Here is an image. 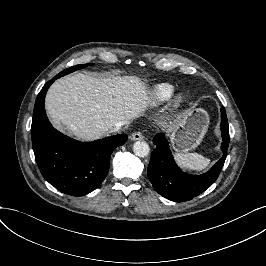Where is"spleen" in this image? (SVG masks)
Instances as JSON below:
<instances>
[{
    "instance_id": "spleen-1",
    "label": "spleen",
    "mask_w": 266,
    "mask_h": 266,
    "mask_svg": "<svg viewBox=\"0 0 266 266\" xmlns=\"http://www.w3.org/2000/svg\"><path fill=\"white\" fill-rule=\"evenodd\" d=\"M179 163L190 169H204L208 167L209 161L197 153L177 154Z\"/></svg>"
}]
</instances>
